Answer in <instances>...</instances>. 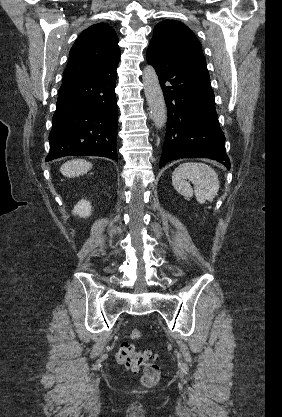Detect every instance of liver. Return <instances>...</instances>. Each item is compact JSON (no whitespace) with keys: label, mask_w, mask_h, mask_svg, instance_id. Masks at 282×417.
Here are the masks:
<instances>
[{"label":"liver","mask_w":282,"mask_h":417,"mask_svg":"<svg viewBox=\"0 0 282 417\" xmlns=\"http://www.w3.org/2000/svg\"><path fill=\"white\" fill-rule=\"evenodd\" d=\"M91 166V162L82 160V158H75V160H67V162H64V164L60 166V172H62L64 176H69V178H72V176H80V174L88 172Z\"/></svg>","instance_id":"liver-1"}]
</instances>
